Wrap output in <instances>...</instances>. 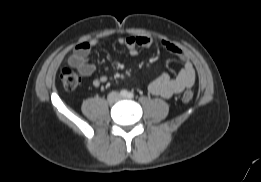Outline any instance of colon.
<instances>
[{
    "mask_svg": "<svg viewBox=\"0 0 261 182\" xmlns=\"http://www.w3.org/2000/svg\"><path fill=\"white\" fill-rule=\"evenodd\" d=\"M60 79L64 88L70 92L76 90L81 82L80 76L70 68L61 70ZM182 98L185 102H189L193 98V93L189 90L185 91Z\"/></svg>",
    "mask_w": 261,
    "mask_h": 182,
    "instance_id": "5ec220e1",
    "label": "colon"
}]
</instances>
